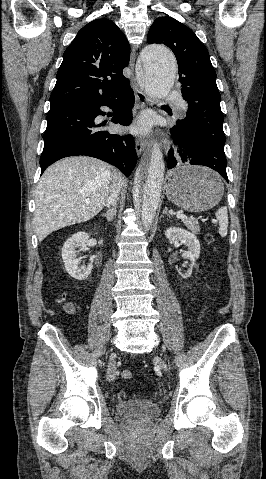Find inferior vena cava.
I'll return each mask as SVG.
<instances>
[{
  "instance_id": "obj_1",
  "label": "inferior vena cava",
  "mask_w": 266,
  "mask_h": 479,
  "mask_svg": "<svg viewBox=\"0 0 266 479\" xmlns=\"http://www.w3.org/2000/svg\"><path fill=\"white\" fill-rule=\"evenodd\" d=\"M123 184H124V180H123V176L120 172L116 171L114 173V176H113V180L110 184V188H109V194H108V198H107V206H113L115 207L116 204H117V201H118V196L120 194V191L123 187Z\"/></svg>"
}]
</instances>
